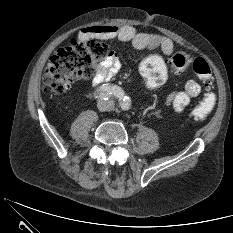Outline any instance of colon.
I'll list each match as a JSON object with an SVG mask.
<instances>
[{"label": "colon", "instance_id": "1", "mask_svg": "<svg viewBox=\"0 0 233 233\" xmlns=\"http://www.w3.org/2000/svg\"><path fill=\"white\" fill-rule=\"evenodd\" d=\"M107 46L96 39L76 38L58 49L50 58L43 75L45 90L62 94L69 90L76 80L88 79L93 73V64L104 57ZM191 66L203 83L206 93L200 103L190 112L193 121L204 120L213 109L216 96L213 92V74L207 61L201 57L191 58L185 52H177L167 59L151 53L144 57L140 72L149 89L161 86L167 78L168 67L181 72Z\"/></svg>", "mask_w": 233, "mask_h": 233}]
</instances>
